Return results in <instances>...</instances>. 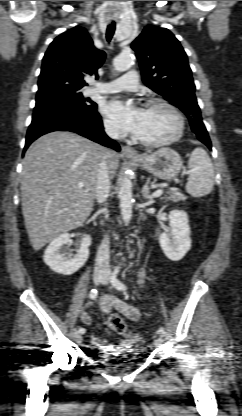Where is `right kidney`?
I'll return each instance as SVG.
<instances>
[{
    "label": "right kidney",
    "mask_w": 242,
    "mask_h": 416,
    "mask_svg": "<svg viewBox=\"0 0 242 416\" xmlns=\"http://www.w3.org/2000/svg\"><path fill=\"white\" fill-rule=\"evenodd\" d=\"M70 242V235L63 233L51 241L45 250L43 260L56 273L63 275H71L78 271L87 261L89 257V246L91 245V237L89 235H82V243L77 250V254L72 256L60 253L63 245Z\"/></svg>",
    "instance_id": "ca27d5eb"
}]
</instances>
